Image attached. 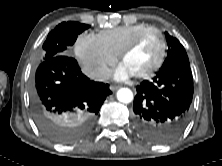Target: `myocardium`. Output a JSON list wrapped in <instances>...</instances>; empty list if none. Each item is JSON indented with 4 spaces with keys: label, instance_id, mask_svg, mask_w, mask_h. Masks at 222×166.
<instances>
[{
    "label": "myocardium",
    "instance_id": "1",
    "mask_svg": "<svg viewBox=\"0 0 222 166\" xmlns=\"http://www.w3.org/2000/svg\"><path fill=\"white\" fill-rule=\"evenodd\" d=\"M149 33H156L159 36L160 42H161L160 54L157 61L149 69L143 72L137 73V74H133L137 78L149 77L162 67L165 61L166 55H167V41L163 32L157 27H153V26L147 27L141 32H139L117 55L118 60L122 62L123 59L128 54H130L139 45V43L143 40V38Z\"/></svg>",
    "mask_w": 222,
    "mask_h": 166
}]
</instances>
